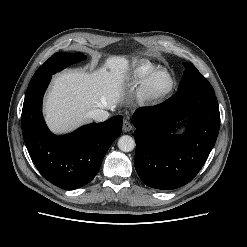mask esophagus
Instances as JSON below:
<instances>
[{
  "mask_svg": "<svg viewBox=\"0 0 247 247\" xmlns=\"http://www.w3.org/2000/svg\"><path fill=\"white\" fill-rule=\"evenodd\" d=\"M130 130H132V124L130 123V121L124 120L123 121V131L129 132Z\"/></svg>",
  "mask_w": 247,
  "mask_h": 247,
  "instance_id": "1",
  "label": "esophagus"
}]
</instances>
